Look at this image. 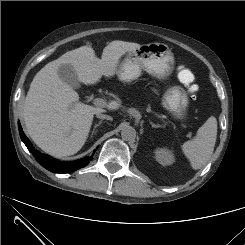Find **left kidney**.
Segmentation results:
<instances>
[{
    "label": "left kidney",
    "mask_w": 245,
    "mask_h": 245,
    "mask_svg": "<svg viewBox=\"0 0 245 245\" xmlns=\"http://www.w3.org/2000/svg\"><path fill=\"white\" fill-rule=\"evenodd\" d=\"M155 158L163 166L171 165L175 162L173 152L168 148H157L155 151Z\"/></svg>",
    "instance_id": "obj_1"
}]
</instances>
